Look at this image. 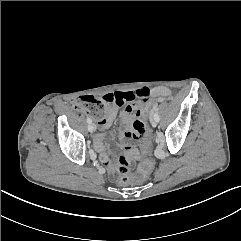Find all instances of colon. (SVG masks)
I'll use <instances>...</instances> for the list:
<instances>
[{"instance_id": "obj_1", "label": "colon", "mask_w": 241, "mask_h": 241, "mask_svg": "<svg viewBox=\"0 0 241 241\" xmlns=\"http://www.w3.org/2000/svg\"><path fill=\"white\" fill-rule=\"evenodd\" d=\"M116 103L115 98H113L111 95H106L104 97H94V96H82L72 102V106L74 109L88 113L90 114L95 120L102 121L108 115L110 114V111L112 109V105ZM169 104L173 103L172 99L168 100ZM153 102H144L141 105L140 109V117L144 123V127L142 129L143 131V141L141 143V162H140V171L138 173L139 179L145 178V173L149 171V167L151 165V157H150V146H151V123L149 121V114L148 111L150 110V107H153ZM131 167V159L127 156H121L118 159V162L116 164L117 171L121 174V176L118 179V183L120 185H127L134 181V178L129 174Z\"/></svg>"}]
</instances>
